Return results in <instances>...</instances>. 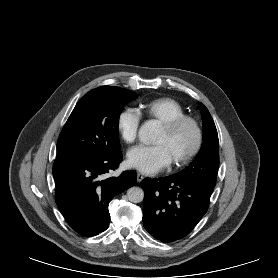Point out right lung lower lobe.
I'll use <instances>...</instances> for the list:
<instances>
[{
	"instance_id": "obj_1",
	"label": "right lung lower lobe",
	"mask_w": 278,
	"mask_h": 278,
	"mask_svg": "<svg viewBox=\"0 0 278 278\" xmlns=\"http://www.w3.org/2000/svg\"><path fill=\"white\" fill-rule=\"evenodd\" d=\"M122 158L119 151L109 156L54 163L57 206L79 234L95 236L106 230L110 220L109 202L135 184L137 174L134 171L107 178V173L117 169Z\"/></svg>"
}]
</instances>
